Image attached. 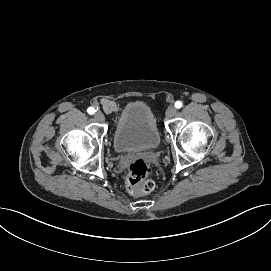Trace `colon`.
Wrapping results in <instances>:
<instances>
[{"label": "colon", "mask_w": 271, "mask_h": 271, "mask_svg": "<svg viewBox=\"0 0 271 271\" xmlns=\"http://www.w3.org/2000/svg\"><path fill=\"white\" fill-rule=\"evenodd\" d=\"M152 167L143 159L132 161L127 169L126 187L132 195H143L154 189L150 178Z\"/></svg>", "instance_id": "5ec220e1"}]
</instances>
